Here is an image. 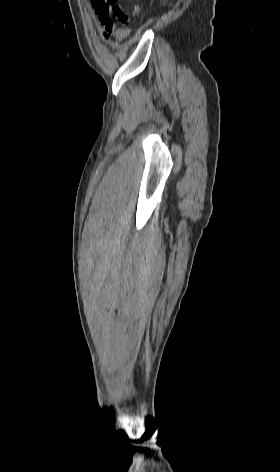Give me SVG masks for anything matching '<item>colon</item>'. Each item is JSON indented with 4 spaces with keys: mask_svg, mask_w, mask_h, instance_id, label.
I'll list each match as a JSON object with an SVG mask.
<instances>
[{
    "mask_svg": "<svg viewBox=\"0 0 280 472\" xmlns=\"http://www.w3.org/2000/svg\"><path fill=\"white\" fill-rule=\"evenodd\" d=\"M91 3L101 21V23H108L117 25L120 24L126 28L131 20V15L138 13V7L133 6L132 13H125L119 5L118 0H91Z\"/></svg>",
    "mask_w": 280,
    "mask_h": 472,
    "instance_id": "5ec220e1",
    "label": "colon"
}]
</instances>
